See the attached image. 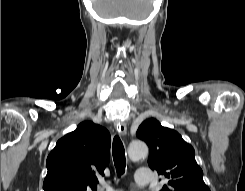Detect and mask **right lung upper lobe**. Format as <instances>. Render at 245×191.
Listing matches in <instances>:
<instances>
[{
	"mask_svg": "<svg viewBox=\"0 0 245 191\" xmlns=\"http://www.w3.org/2000/svg\"><path fill=\"white\" fill-rule=\"evenodd\" d=\"M110 134L90 121L58 140L48 155L44 191H86L96 189L98 177L109 163Z\"/></svg>",
	"mask_w": 245,
	"mask_h": 191,
	"instance_id": "1",
	"label": "right lung upper lobe"
}]
</instances>
